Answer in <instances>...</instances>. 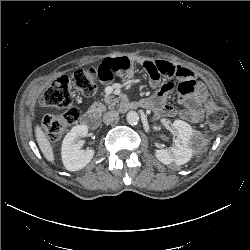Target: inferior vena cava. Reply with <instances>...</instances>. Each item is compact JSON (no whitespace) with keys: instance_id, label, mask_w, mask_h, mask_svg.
<instances>
[{"instance_id":"602c4592","label":"inferior vena cava","mask_w":250,"mask_h":250,"mask_svg":"<svg viewBox=\"0 0 250 250\" xmlns=\"http://www.w3.org/2000/svg\"><path fill=\"white\" fill-rule=\"evenodd\" d=\"M118 116H119L118 111L115 110L108 111L103 116V122L105 124H111L118 118Z\"/></svg>"}]
</instances>
